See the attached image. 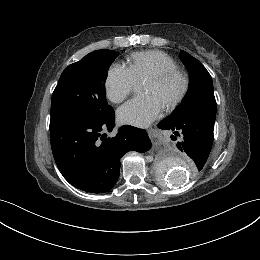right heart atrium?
Instances as JSON below:
<instances>
[{
  "mask_svg": "<svg viewBox=\"0 0 260 260\" xmlns=\"http://www.w3.org/2000/svg\"><path fill=\"white\" fill-rule=\"evenodd\" d=\"M135 83L127 67L113 64L108 70L105 81L106 95L111 102L120 103L132 92Z\"/></svg>",
  "mask_w": 260,
  "mask_h": 260,
  "instance_id": "obj_1",
  "label": "right heart atrium"
}]
</instances>
